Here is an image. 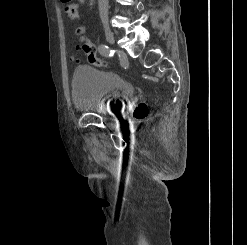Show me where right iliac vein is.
Segmentation results:
<instances>
[{"mask_svg": "<svg viewBox=\"0 0 247 245\" xmlns=\"http://www.w3.org/2000/svg\"><path fill=\"white\" fill-rule=\"evenodd\" d=\"M104 31H105V37H106L107 42L109 44L113 45L114 42H115V38H114L113 32L110 30L109 27H105Z\"/></svg>", "mask_w": 247, "mask_h": 245, "instance_id": "63e3f726", "label": "right iliac vein"}]
</instances>
